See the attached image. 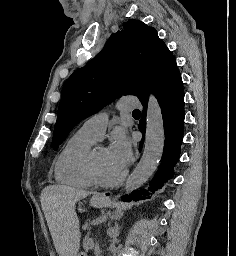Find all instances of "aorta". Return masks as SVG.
<instances>
[{
	"mask_svg": "<svg viewBox=\"0 0 236 256\" xmlns=\"http://www.w3.org/2000/svg\"><path fill=\"white\" fill-rule=\"evenodd\" d=\"M146 136L143 155L125 184V194L141 187L155 172L164 150V125L157 99L149 96L146 114Z\"/></svg>",
	"mask_w": 236,
	"mask_h": 256,
	"instance_id": "1",
	"label": "aorta"
}]
</instances>
